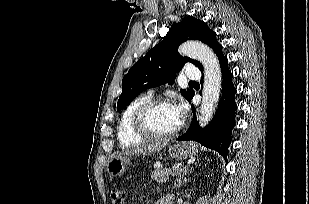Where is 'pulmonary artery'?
<instances>
[{
	"label": "pulmonary artery",
	"mask_w": 309,
	"mask_h": 204,
	"mask_svg": "<svg viewBox=\"0 0 309 204\" xmlns=\"http://www.w3.org/2000/svg\"><path fill=\"white\" fill-rule=\"evenodd\" d=\"M185 77L188 80H199L201 73L198 69H187L185 71Z\"/></svg>",
	"instance_id": "obj_1"
}]
</instances>
